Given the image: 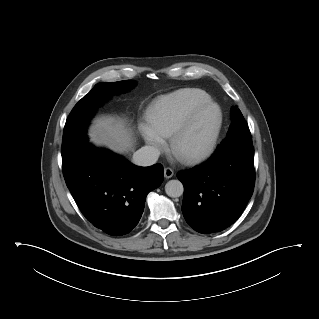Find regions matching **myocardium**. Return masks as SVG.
<instances>
[{"label": "myocardium", "instance_id": "myocardium-1", "mask_svg": "<svg viewBox=\"0 0 319 319\" xmlns=\"http://www.w3.org/2000/svg\"><path fill=\"white\" fill-rule=\"evenodd\" d=\"M210 107L216 108L219 114V121L210 139V142L205 148L201 150H196V151L184 150L182 148V142L192 130L200 114ZM223 125H224V113L221 106L218 103L212 100H209L197 106L190 113V115L188 116L186 121L183 123V125L171 136L170 149L172 154L176 157L177 160L185 164H197L207 160L209 157H211L214 154V152L217 149L219 138L223 129Z\"/></svg>", "mask_w": 319, "mask_h": 319}]
</instances>
